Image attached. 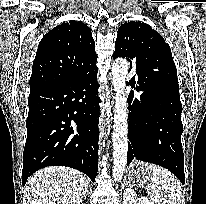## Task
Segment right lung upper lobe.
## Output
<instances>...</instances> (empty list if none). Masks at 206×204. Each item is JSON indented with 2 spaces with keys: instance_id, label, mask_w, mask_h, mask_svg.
<instances>
[{
  "instance_id": "cb5924a9",
  "label": "right lung upper lobe",
  "mask_w": 206,
  "mask_h": 204,
  "mask_svg": "<svg viewBox=\"0 0 206 204\" xmlns=\"http://www.w3.org/2000/svg\"><path fill=\"white\" fill-rule=\"evenodd\" d=\"M95 42L81 21L62 23L40 41L33 62L30 90L71 81L96 66Z\"/></svg>"
}]
</instances>
